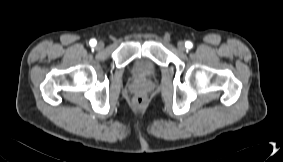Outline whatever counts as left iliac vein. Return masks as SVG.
Returning <instances> with one entry per match:
<instances>
[{"instance_id": "left-iliac-vein-1", "label": "left iliac vein", "mask_w": 283, "mask_h": 162, "mask_svg": "<svg viewBox=\"0 0 283 162\" xmlns=\"http://www.w3.org/2000/svg\"><path fill=\"white\" fill-rule=\"evenodd\" d=\"M177 47L180 51H184L186 49L185 43L183 41H179L177 43Z\"/></svg>"}]
</instances>
